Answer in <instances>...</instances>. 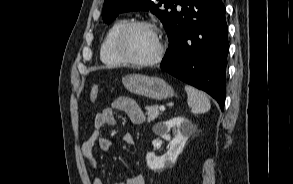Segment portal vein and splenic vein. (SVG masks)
Masks as SVG:
<instances>
[{
    "instance_id": "1",
    "label": "portal vein and splenic vein",
    "mask_w": 293,
    "mask_h": 184,
    "mask_svg": "<svg viewBox=\"0 0 293 184\" xmlns=\"http://www.w3.org/2000/svg\"><path fill=\"white\" fill-rule=\"evenodd\" d=\"M160 111H165V107L164 106H160Z\"/></svg>"
}]
</instances>
